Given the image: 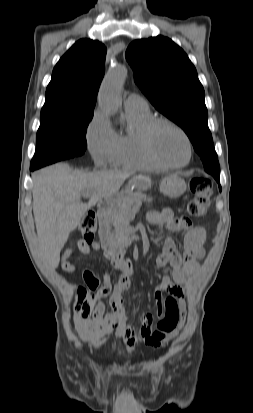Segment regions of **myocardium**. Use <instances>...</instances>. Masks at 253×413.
<instances>
[{
  "label": "myocardium",
  "mask_w": 253,
  "mask_h": 413,
  "mask_svg": "<svg viewBox=\"0 0 253 413\" xmlns=\"http://www.w3.org/2000/svg\"><path fill=\"white\" fill-rule=\"evenodd\" d=\"M160 124H166L172 127L177 132H179L184 138L186 142L188 154H187L186 160L183 163L170 164V163L164 162L154 152V149L152 146V134L155 128ZM140 143H141L142 150L144 154L146 155V157L157 167L164 168V169H180V168L187 166L189 162L191 161L192 154H193L192 142L190 140V137L186 133V131L180 125H178L174 121L168 118H165V117H153L152 119H150L148 122L144 124L140 132Z\"/></svg>",
  "instance_id": "myocardium-1"
}]
</instances>
